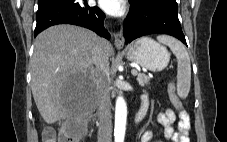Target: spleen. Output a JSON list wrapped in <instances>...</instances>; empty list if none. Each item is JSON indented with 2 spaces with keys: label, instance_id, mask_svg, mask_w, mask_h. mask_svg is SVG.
<instances>
[{
  "label": "spleen",
  "instance_id": "3e777b00",
  "mask_svg": "<svg viewBox=\"0 0 227 142\" xmlns=\"http://www.w3.org/2000/svg\"><path fill=\"white\" fill-rule=\"evenodd\" d=\"M160 43H163L171 49L177 58V94L180 98H186L191 86V65L188 52L184 45L173 37L161 35L157 37Z\"/></svg>",
  "mask_w": 227,
  "mask_h": 142
}]
</instances>
